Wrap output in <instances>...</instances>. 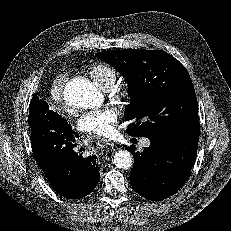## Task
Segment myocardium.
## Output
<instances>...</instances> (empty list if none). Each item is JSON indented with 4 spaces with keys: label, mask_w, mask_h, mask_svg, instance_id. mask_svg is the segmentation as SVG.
<instances>
[{
    "label": "myocardium",
    "mask_w": 231,
    "mask_h": 231,
    "mask_svg": "<svg viewBox=\"0 0 231 231\" xmlns=\"http://www.w3.org/2000/svg\"><path fill=\"white\" fill-rule=\"evenodd\" d=\"M131 95L132 89L130 86L118 87L112 91V96L120 102L127 101L128 99H130Z\"/></svg>",
    "instance_id": "myocardium-1"
}]
</instances>
